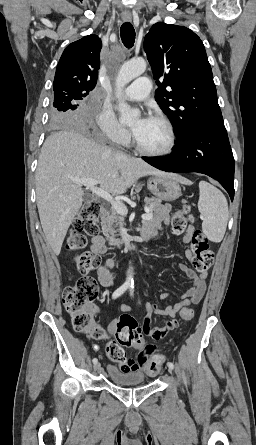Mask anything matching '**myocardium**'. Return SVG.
I'll return each instance as SVG.
<instances>
[{"instance_id": "obj_1", "label": "myocardium", "mask_w": 256, "mask_h": 445, "mask_svg": "<svg viewBox=\"0 0 256 445\" xmlns=\"http://www.w3.org/2000/svg\"><path fill=\"white\" fill-rule=\"evenodd\" d=\"M148 119L158 121L165 126V128L167 129V132H168V136H169L167 146L161 150L146 149L142 145H140V143L137 141L134 134L132 135V145L139 153L146 155V156L163 157V156L169 155L170 153H172V151L174 150L175 145H176V132H175V128H174L173 124L171 123V121L168 118H166L163 115H159V114L150 115Z\"/></svg>"}]
</instances>
